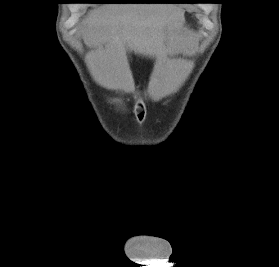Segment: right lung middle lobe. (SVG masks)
<instances>
[{
	"label": "right lung middle lobe",
	"instance_id": "right-lung-middle-lobe-1",
	"mask_svg": "<svg viewBox=\"0 0 279 267\" xmlns=\"http://www.w3.org/2000/svg\"><path fill=\"white\" fill-rule=\"evenodd\" d=\"M113 2H131V1H140V0H110Z\"/></svg>",
	"mask_w": 279,
	"mask_h": 267
}]
</instances>
